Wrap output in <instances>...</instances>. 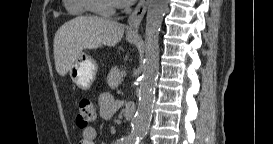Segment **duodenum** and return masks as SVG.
Here are the masks:
<instances>
[{"instance_id":"410a0bca","label":"duodenum","mask_w":273,"mask_h":144,"mask_svg":"<svg viewBox=\"0 0 273 144\" xmlns=\"http://www.w3.org/2000/svg\"><path fill=\"white\" fill-rule=\"evenodd\" d=\"M135 115V107L131 103L124 104V116L126 120H132Z\"/></svg>"}]
</instances>
